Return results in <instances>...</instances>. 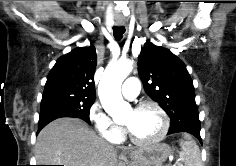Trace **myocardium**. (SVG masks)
Instances as JSON below:
<instances>
[{
    "label": "myocardium",
    "instance_id": "obj_1",
    "mask_svg": "<svg viewBox=\"0 0 236 166\" xmlns=\"http://www.w3.org/2000/svg\"><path fill=\"white\" fill-rule=\"evenodd\" d=\"M145 108H154L160 114L161 119H162V128H161L160 133L156 137L149 140H141L135 137L133 133L126 127L125 132L128 135L131 142L139 146H150V145H155L161 142L167 135L168 130H169V124H170L169 117L166 111L157 102L150 101V100L140 102L134 107V111L138 112Z\"/></svg>",
    "mask_w": 236,
    "mask_h": 166
}]
</instances>
